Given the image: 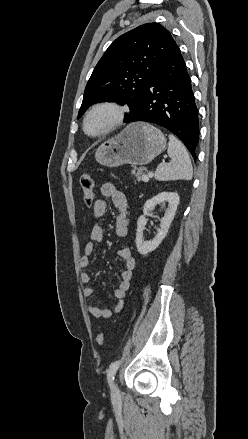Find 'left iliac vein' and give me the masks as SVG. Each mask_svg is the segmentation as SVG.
Wrapping results in <instances>:
<instances>
[{
  "label": "left iliac vein",
  "mask_w": 248,
  "mask_h": 439,
  "mask_svg": "<svg viewBox=\"0 0 248 439\" xmlns=\"http://www.w3.org/2000/svg\"><path fill=\"white\" fill-rule=\"evenodd\" d=\"M120 396V390L118 388L117 383L114 381L111 385V397L113 400L118 399Z\"/></svg>",
  "instance_id": "1"
}]
</instances>
